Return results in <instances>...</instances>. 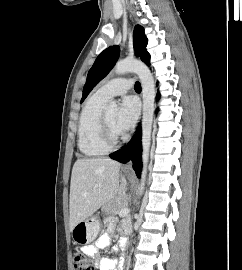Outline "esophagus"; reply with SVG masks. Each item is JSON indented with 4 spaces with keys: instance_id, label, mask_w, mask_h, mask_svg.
I'll return each instance as SVG.
<instances>
[{
    "instance_id": "esophagus-1",
    "label": "esophagus",
    "mask_w": 242,
    "mask_h": 270,
    "mask_svg": "<svg viewBox=\"0 0 242 270\" xmlns=\"http://www.w3.org/2000/svg\"><path fill=\"white\" fill-rule=\"evenodd\" d=\"M131 167H132V162L129 161V162L127 163V165H126V168H127V169H130Z\"/></svg>"
}]
</instances>
